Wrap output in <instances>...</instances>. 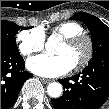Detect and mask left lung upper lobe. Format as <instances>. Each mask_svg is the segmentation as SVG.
<instances>
[{"label": "left lung upper lobe", "mask_w": 109, "mask_h": 109, "mask_svg": "<svg viewBox=\"0 0 109 109\" xmlns=\"http://www.w3.org/2000/svg\"><path fill=\"white\" fill-rule=\"evenodd\" d=\"M71 19L80 20L84 22L89 28L92 36L93 43V55L92 59L103 54H109V27L106 26L101 20L95 16L78 12L74 14ZM81 96L80 88L75 87L66 93V97L69 102H77Z\"/></svg>", "instance_id": "left-lung-upper-lobe-1"}]
</instances>
